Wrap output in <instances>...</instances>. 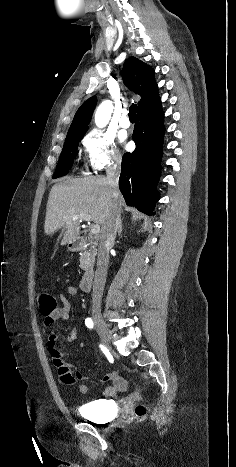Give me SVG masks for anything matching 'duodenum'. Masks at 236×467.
I'll return each instance as SVG.
<instances>
[{"label":"duodenum","instance_id":"410a0bca","mask_svg":"<svg viewBox=\"0 0 236 467\" xmlns=\"http://www.w3.org/2000/svg\"><path fill=\"white\" fill-rule=\"evenodd\" d=\"M87 242L83 237H77L70 241L69 246L72 251H81ZM94 273L91 269L85 271L80 279V288L83 292H90L93 285Z\"/></svg>","mask_w":236,"mask_h":467}]
</instances>
